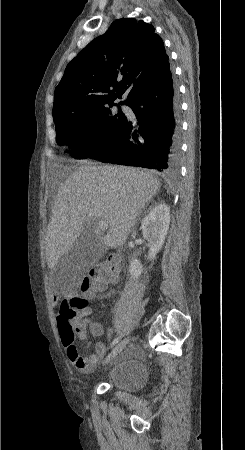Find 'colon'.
<instances>
[{
  "mask_svg": "<svg viewBox=\"0 0 245 450\" xmlns=\"http://www.w3.org/2000/svg\"><path fill=\"white\" fill-rule=\"evenodd\" d=\"M122 261L116 254H111L106 260L97 262L81 276L80 289L87 293L94 288L105 287L113 282L120 273ZM74 299H62L60 302L57 324L62 340L66 343L74 341L76 331L83 330V324L78 321Z\"/></svg>",
  "mask_w": 245,
  "mask_h": 450,
  "instance_id": "colon-1",
  "label": "colon"
}]
</instances>
